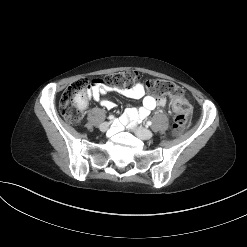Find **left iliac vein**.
<instances>
[{"mask_svg": "<svg viewBox=\"0 0 247 247\" xmlns=\"http://www.w3.org/2000/svg\"><path fill=\"white\" fill-rule=\"evenodd\" d=\"M134 132L137 135V137H139L142 140H148L153 137V133L150 130L141 126L134 128Z\"/></svg>", "mask_w": 247, "mask_h": 247, "instance_id": "4c4485c4", "label": "left iliac vein"}]
</instances>
